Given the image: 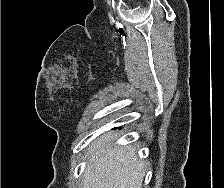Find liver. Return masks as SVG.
<instances>
[{
    "label": "liver",
    "instance_id": "obj_1",
    "mask_svg": "<svg viewBox=\"0 0 224 188\" xmlns=\"http://www.w3.org/2000/svg\"><path fill=\"white\" fill-rule=\"evenodd\" d=\"M114 136L109 132L91 144L83 188H142L144 164L132 146L108 148Z\"/></svg>",
    "mask_w": 224,
    "mask_h": 188
}]
</instances>
